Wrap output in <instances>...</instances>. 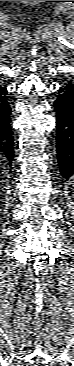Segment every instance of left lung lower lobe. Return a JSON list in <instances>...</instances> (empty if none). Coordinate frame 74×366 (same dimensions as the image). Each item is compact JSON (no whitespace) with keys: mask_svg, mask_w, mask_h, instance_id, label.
<instances>
[{"mask_svg":"<svg viewBox=\"0 0 74 366\" xmlns=\"http://www.w3.org/2000/svg\"><path fill=\"white\" fill-rule=\"evenodd\" d=\"M57 116L56 151L64 179L74 176V81L59 88L54 102Z\"/></svg>","mask_w":74,"mask_h":366,"instance_id":"obj_1","label":"left lung lower lobe"}]
</instances>
